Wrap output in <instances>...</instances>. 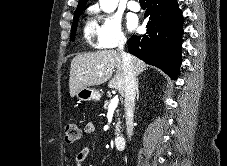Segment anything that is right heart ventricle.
Masks as SVG:
<instances>
[{
    "label": "right heart ventricle",
    "instance_id": "right-heart-ventricle-1",
    "mask_svg": "<svg viewBox=\"0 0 227 166\" xmlns=\"http://www.w3.org/2000/svg\"><path fill=\"white\" fill-rule=\"evenodd\" d=\"M94 35L95 25L92 21H87L84 26V36L91 45L93 44Z\"/></svg>",
    "mask_w": 227,
    "mask_h": 166
}]
</instances>
